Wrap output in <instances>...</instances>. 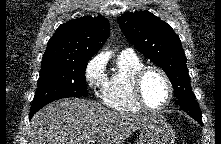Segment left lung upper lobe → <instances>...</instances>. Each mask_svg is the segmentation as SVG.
Here are the masks:
<instances>
[{
	"label": "left lung upper lobe",
	"mask_w": 221,
	"mask_h": 144,
	"mask_svg": "<svg viewBox=\"0 0 221 144\" xmlns=\"http://www.w3.org/2000/svg\"><path fill=\"white\" fill-rule=\"evenodd\" d=\"M118 23L127 40L167 74L181 109L191 117H202L192 95L181 41L169 24L146 11L125 13Z\"/></svg>",
	"instance_id": "5c2ea615"
}]
</instances>
